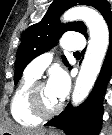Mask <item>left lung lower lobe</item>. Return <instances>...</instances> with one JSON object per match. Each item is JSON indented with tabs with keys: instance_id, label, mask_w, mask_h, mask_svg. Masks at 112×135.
Segmentation results:
<instances>
[{
	"instance_id": "1",
	"label": "left lung lower lobe",
	"mask_w": 112,
	"mask_h": 135,
	"mask_svg": "<svg viewBox=\"0 0 112 135\" xmlns=\"http://www.w3.org/2000/svg\"><path fill=\"white\" fill-rule=\"evenodd\" d=\"M110 43L100 75L89 97L77 108L69 104L65 111L45 126L63 129L68 135H98L102 124L103 96L112 72V17L107 21Z\"/></svg>"
}]
</instances>
